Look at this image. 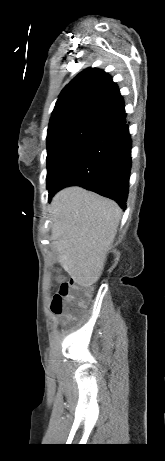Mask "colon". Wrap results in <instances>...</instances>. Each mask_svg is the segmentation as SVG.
Segmentation results:
<instances>
[{
    "mask_svg": "<svg viewBox=\"0 0 165 461\" xmlns=\"http://www.w3.org/2000/svg\"><path fill=\"white\" fill-rule=\"evenodd\" d=\"M91 288L75 283L73 279L58 278V290L53 296L51 311L65 321L75 319L90 298Z\"/></svg>",
    "mask_w": 165,
    "mask_h": 461,
    "instance_id": "5ec220e1",
    "label": "colon"
}]
</instances>
